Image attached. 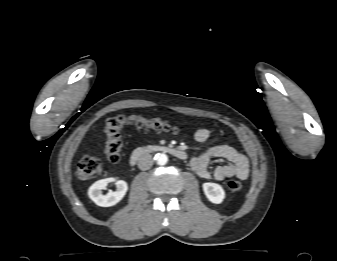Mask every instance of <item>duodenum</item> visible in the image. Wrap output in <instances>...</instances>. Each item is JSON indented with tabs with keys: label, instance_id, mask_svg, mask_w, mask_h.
Returning a JSON list of instances; mask_svg holds the SVG:
<instances>
[{
	"label": "duodenum",
	"instance_id": "duodenum-1",
	"mask_svg": "<svg viewBox=\"0 0 337 261\" xmlns=\"http://www.w3.org/2000/svg\"><path fill=\"white\" fill-rule=\"evenodd\" d=\"M151 153H166L180 160H186L187 154L185 151L169 145H146L137 148L130 156V164L136 165L142 158Z\"/></svg>",
	"mask_w": 337,
	"mask_h": 261
}]
</instances>
